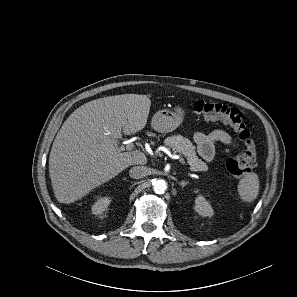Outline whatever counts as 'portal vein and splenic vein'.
I'll use <instances>...</instances> for the list:
<instances>
[{
	"instance_id": "18ae733b",
	"label": "portal vein and splenic vein",
	"mask_w": 297,
	"mask_h": 297,
	"mask_svg": "<svg viewBox=\"0 0 297 297\" xmlns=\"http://www.w3.org/2000/svg\"><path fill=\"white\" fill-rule=\"evenodd\" d=\"M124 150H129V151L134 150L135 151L134 144L131 143V141H129V140L124 141L122 143V145L119 147V151H124ZM136 151H138V150H136ZM170 157L173 159H178L182 165H186L184 159L180 155H170ZM192 175H194V174H192Z\"/></svg>"
}]
</instances>
